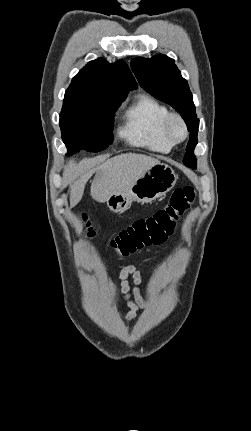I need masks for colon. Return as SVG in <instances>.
Instances as JSON below:
<instances>
[{"label": "colon", "instance_id": "1", "mask_svg": "<svg viewBox=\"0 0 251 431\" xmlns=\"http://www.w3.org/2000/svg\"><path fill=\"white\" fill-rule=\"evenodd\" d=\"M194 198L195 191L191 186L175 189L166 206L121 230L111 240V248L120 257H127L144 247L162 244L174 232L177 220L190 208ZM83 221L85 234L93 237L95 232L91 223L86 217H83Z\"/></svg>", "mask_w": 251, "mask_h": 431}]
</instances>
